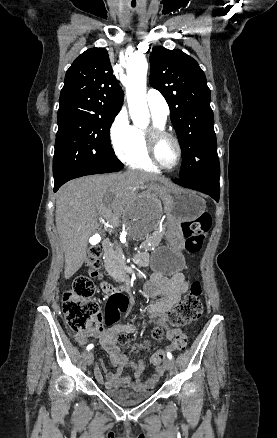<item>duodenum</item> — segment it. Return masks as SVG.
Returning a JSON list of instances; mask_svg holds the SVG:
<instances>
[{
  "label": "duodenum",
  "mask_w": 277,
  "mask_h": 438,
  "mask_svg": "<svg viewBox=\"0 0 277 438\" xmlns=\"http://www.w3.org/2000/svg\"><path fill=\"white\" fill-rule=\"evenodd\" d=\"M101 247L103 250H107L109 248V242L108 240H103L101 242ZM132 260L133 262L140 264V265H147L149 262V257L146 253L144 252H138L132 255ZM104 289L106 290V292L108 293H113L115 291V289L111 286L105 285Z\"/></svg>",
  "instance_id": "1"
}]
</instances>
